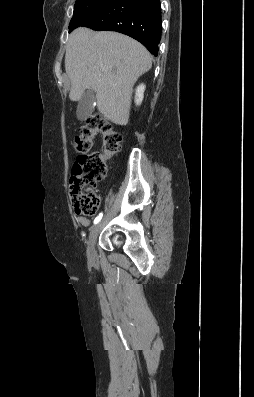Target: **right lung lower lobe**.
I'll return each mask as SVG.
<instances>
[{"label":"right lung lower lobe","mask_w":254,"mask_h":397,"mask_svg":"<svg viewBox=\"0 0 254 397\" xmlns=\"http://www.w3.org/2000/svg\"><path fill=\"white\" fill-rule=\"evenodd\" d=\"M81 26L126 34L157 56L162 28L160 0H109Z\"/></svg>","instance_id":"obj_1"}]
</instances>
